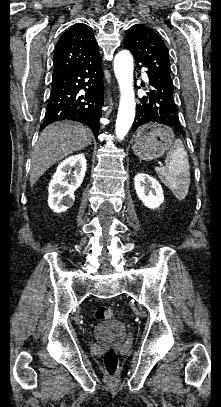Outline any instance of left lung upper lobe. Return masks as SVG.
<instances>
[{"instance_id": "1", "label": "left lung upper lobe", "mask_w": 221, "mask_h": 407, "mask_svg": "<svg viewBox=\"0 0 221 407\" xmlns=\"http://www.w3.org/2000/svg\"><path fill=\"white\" fill-rule=\"evenodd\" d=\"M124 43L135 61L148 69L147 72L172 82L166 45L153 29L134 25L128 30Z\"/></svg>"}]
</instances>
